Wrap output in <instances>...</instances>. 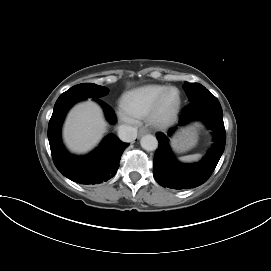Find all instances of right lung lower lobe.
Returning <instances> with one entry per match:
<instances>
[{
  "mask_svg": "<svg viewBox=\"0 0 271 271\" xmlns=\"http://www.w3.org/2000/svg\"><path fill=\"white\" fill-rule=\"evenodd\" d=\"M80 100L56 101L48 126L51 154L56 168L70 180L81 184L101 183L115 175L121 155L129 144L122 143L115 135L109 134L100 146L87 156L77 157L68 153L61 141V125L69 108ZM94 100L103 106L108 120L116 122L112 109L100 98Z\"/></svg>",
  "mask_w": 271,
  "mask_h": 271,
  "instance_id": "obj_1",
  "label": "right lung lower lobe"
}]
</instances>
